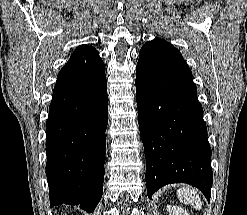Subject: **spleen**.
<instances>
[{
    "instance_id": "1",
    "label": "spleen",
    "mask_w": 247,
    "mask_h": 215,
    "mask_svg": "<svg viewBox=\"0 0 247 215\" xmlns=\"http://www.w3.org/2000/svg\"><path fill=\"white\" fill-rule=\"evenodd\" d=\"M177 196L183 204H191L195 209L202 208L201 197L198 192L189 186H183L177 190Z\"/></svg>"
}]
</instances>
